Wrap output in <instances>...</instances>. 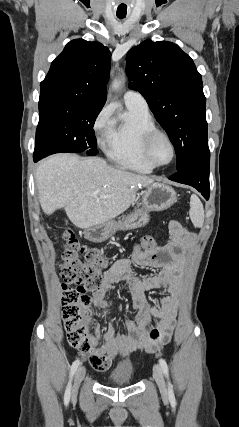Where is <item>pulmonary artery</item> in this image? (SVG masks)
Listing matches in <instances>:
<instances>
[{
	"instance_id": "e3ab8cb5",
	"label": "pulmonary artery",
	"mask_w": 239,
	"mask_h": 427,
	"mask_svg": "<svg viewBox=\"0 0 239 427\" xmlns=\"http://www.w3.org/2000/svg\"><path fill=\"white\" fill-rule=\"evenodd\" d=\"M124 102L126 105L135 106L141 109L148 110V104L145 98L137 91L128 90L124 94Z\"/></svg>"
}]
</instances>
